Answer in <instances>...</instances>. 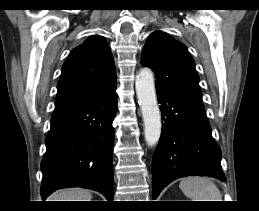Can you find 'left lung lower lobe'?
I'll return each mask as SVG.
<instances>
[{"mask_svg": "<svg viewBox=\"0 0 259 211\" xmlns=\"http://www.w3.org/2000/svg\"><path fill=\"white\" fill-rule=\"evenodd\" d=\"M156 92L163 123L152 160L153 197L180 177L207 175L223 181L221 150L212 137L202 100Z\"/></svg>", "mask_w": 259, "mask_h": 211, "instance_id": "1", "label": "left lung lower lobe"}]
</instances>
